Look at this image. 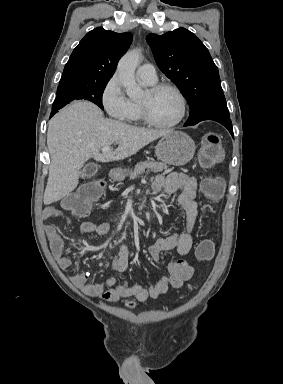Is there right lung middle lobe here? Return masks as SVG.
<instances>
[{
  "mask_svg": "<svg viewBox=\"0 0 283 384\" xmlns=\"http://www.w3.org/2000/svg\"><path fill=\"white\" fill-rule=\"evenodd\" d=\"M106 84L107 82L58 86L52 109H61L71 101L79 99L91 101L103 109L102 95Z\"/></svg>",
  "mask_w": 283,
  "mask_h": 384,
  "instance_id": "obj_1",
  "label": "right lung middle lobe"
}]
</instances>
